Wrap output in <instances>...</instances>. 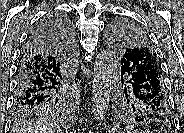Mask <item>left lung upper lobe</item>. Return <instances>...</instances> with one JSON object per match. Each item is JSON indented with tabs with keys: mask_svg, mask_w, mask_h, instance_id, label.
<instances>
[{
	"mask_svg": "<svg viewBox=\"0 0 184 133\" xmlns=\"http://www.w3.org/2000/svg\"><path fill=\"white\" fill-rule=\"evenodd\" d=\"M109 40L118 69L114 102L117 113L136 121L147 120L142 103L135 97L129 79L132 70H138L139 65L144 68L143 71H150L151 74L162 79V71L149 37L135 22L118 19L109 27ZM166 108H169L168 105Z\"/></svg>",
	"mask_w": 184,
	"mask_h": 133,
	"instance_id": "left-lung-upper-lobe-1",
	"label": "left lung upper lobe"
}]
</instances>
